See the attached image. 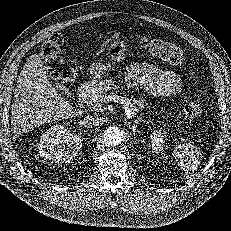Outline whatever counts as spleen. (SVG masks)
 Segmentation results:
<instances>
[{"label":"spleen","instance_id":"1","mask_svg":"<svg viewBox=\"0 0 231 231\" xmlns=\"http://www.w3.org/2000/svg\"><path fill=\"white\" fill-rule=\"evenodd\" d=\"M172 155L175 162H177L178 166L184 171V177L186 176V178L189 179L190 174H194L200 164L197 147L191 144V142H186L174 147Z\"/></svg>","mask_w":231,"mask_h":231}]
</instances>
